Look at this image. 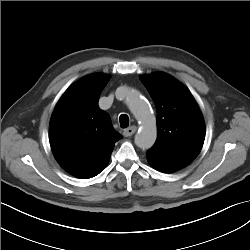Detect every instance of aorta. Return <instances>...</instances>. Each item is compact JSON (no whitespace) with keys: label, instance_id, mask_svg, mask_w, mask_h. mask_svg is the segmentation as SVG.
Wrapping results in <instances>:
<instances>
[{"label":"aorta","instance_id":"obj_1","mask_svg":"<svg viewBox=\"0 0 250 250\" xmlns=\"http://www.w3.org/2000/svg\"><path fill=\"white\" fill-rule=\"evenodd\" d=\"M118 93L122 95L123 100L140 124L135 135V144L142 149L151 148L157 138L156 119L151 107L134 89L123 87L119 89Z\"/></svg>","mask_w":250,"mask_h":250}]
</instances>
